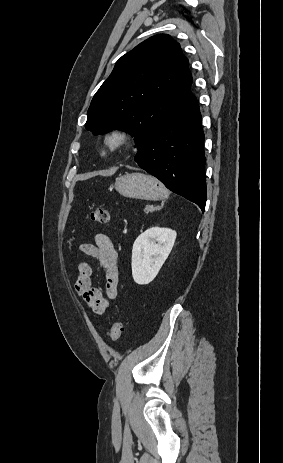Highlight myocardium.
Wrapping results in <instances>:
<instances>
[{
	"label": "myocardium",
	"mask_w": 283,
	"mask_h": 463,
	"mask_svg": "<svg viewBox=\"0 0 283 463\" xmlns=\"http://www.w3.org/2000/svg\"><path fill=\"white\" fill-rule=\"evenodd\" d=\"M129 133L121 128L114 127L106 131L100 139V153L103 156H110L127 146Z\"/></svg>",
	"instance_id": "myocardium-1"
}]
</instances>
